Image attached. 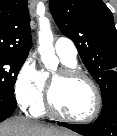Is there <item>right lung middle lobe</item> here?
Wrapping results in <instances>:
<instances>
[{"mask_svg": "<svg viewBox=\"0 0 117 136\" xmlns=\"http://www.w3.org/2000/svg\"><path fill=\"white\" fill-rule=\"evenodd\" d=\"M26 58L0 55V94L14 96V84Z\"/></svg>", "mask_w": 117, "mask_h": 136, "instance_id": "obj_1", "label": "right lung middle lobe"}]
</instances>
